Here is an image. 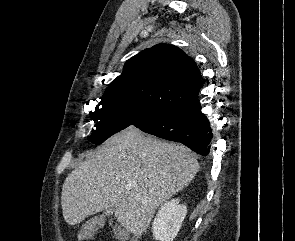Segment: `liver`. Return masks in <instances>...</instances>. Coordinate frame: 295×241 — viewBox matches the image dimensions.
<instances>
[{"mask_svg":"<svg viewBox=\"0 0 295 241\" xmlns=\"http://www.w3.org/2000/svg\"><path fill=\"white\" fill-rule=\"evenodd\" d=\"M199 168L185 146L130 128L106 140L67 176L61 196L64 220L75 225L115 208L117 221L142 235L155 210L188 186Z\"/></svg>","mask_w":295,"mask_h":241,"instance_id":"1","label":"liver"}]
</instances>
